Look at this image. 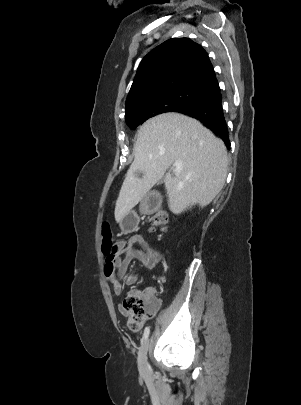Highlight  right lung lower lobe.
<instances>
[{"mask_svg":"<svg viewBox=\"0 0 301 405\" xmlns=\"http://www.w3.org/2000/svg\"><path fill=\"white\" fill-rule=\"evenodd\" d=\"M219 91L203 103L182 107L175 112L198 119L205 127L220 137L227 147H230L228 126L224 118Z\"/></svg>","mask_w":301,"mask_h":405,"instance_id":"1","label":"right lung lower lobe"}]
</instances>
